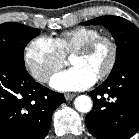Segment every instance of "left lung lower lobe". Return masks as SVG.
Returning <instances> with one entry per match:
<instances>
[{
  "label": "left lung lower lobe",
  "instance_id": "left-lung-lower-lobe-1",
  "mask_svg": "<svg viewBox=\"0 0 139 139\" xmlns=\"http://www.w3.org/2000/svg\"><path fill=\"white\" fill-rule=\"evenodd\" d=\"M93 109L86 116L98 139H129L139 130V56H134L88 93Z\"/></svg>",
  "mask_w": 139,
  "mask_h": 139
}]
</instances>
